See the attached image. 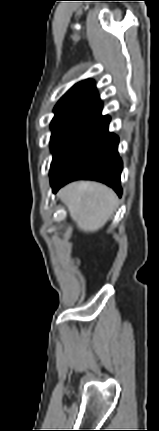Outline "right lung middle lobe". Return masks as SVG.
<instances>
[{"mask_svg": "<svg viewBox=\"0 0 159 431\" xmlns=\"http://www.w3.org/2000/svg\"><path fill=\"white\" fill-rule=\"evenodd\" d=\"M83 120L68 118H53L51 122L52 135L50 139L51 151L53 154L60 146L78 129L86 125Z\"/></svg>", "mask_w": 159, "mask_h": 431, "instance_id": "right-lung-middle-lobe-1", "label": "right lung middle lobe"}]
</instances>
